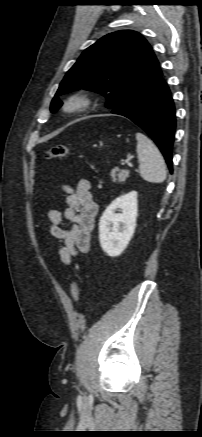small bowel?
Instances as JSON below:
<instances>
[{
    "instance_id": "obj_1",
    "label": "small bowel",
    "mask_w": 202,
    "mask_h": 437,
    "mask_svg": "<svg viewBox=\"0 0 202 437\" xmlns=\"http://www.w3.org/2000/svg\"><path fill=\"white\" fill-rule=\"evenodd\" d=\"M61 189L66 194L65 210L61 212L52 208L46 215L50 234L61 242L59 259L63 264L70 265L79 254L90 250L98 205L93 200L91 183L87 179H80L75 187L64 184ZM64 221L71 224L69 229L63 226Z\"/></svg>"
}]
</instances>
